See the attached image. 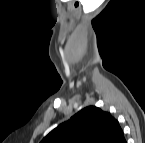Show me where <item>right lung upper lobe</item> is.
<instances>
[{
	"mask_svg": "<svg viewBox=\"0 0 145 143\" xmlns=\"http://www.w3.org/2000/svg\"><path fill=\"white\" fill-rule=\"evenodd\" d=\"M40 143H126L110 113L89 106L52 130Z\"/></svg>",
	"mask_w": 145,
	"mask_h": 143,
	"instance_id": "cb5924a9",
	"label": "right lung upper lobe"
}]
</instances>
